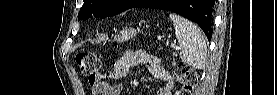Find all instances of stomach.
I'll return each instance as SVG.
<instances>
[{
	"instance_id": "1",
	"label": "stomach",
	"mask_w": 277,
	"mask_h": 95,
	"mask_svg": "<svg viewBox=\"0 0 277 95\" xmlns=\"http://www.w3.org/2000/svg\"><path fill=\"white\" fill-rule=\"evenodd\" d=\"M137 35V31L132 28H126L120 31L117 36V41L124 42Z\"/></svg>"
}]
</instances>
